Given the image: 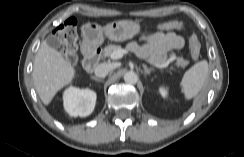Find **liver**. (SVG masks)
Instances as JSON below:
<instances>
[{"instance_id": "liver-1", "label": "liver", "mask_w": 244, "mask_h": 157, "mask_svg": "<svg viewBox=\"0 0 244 157\" xmlns=\"http://www.w3.org/2000/svg\"><path fill=\"white\" fill-rule=\"evenodd\" d=\"M75 76L76 69L71 62L44 40L35 55L32 72L35 90L44 105L48 106L56 93Z\"/></svg>"}]
</instances>
